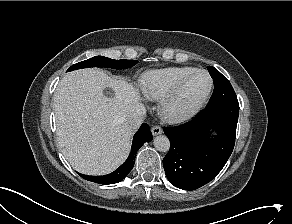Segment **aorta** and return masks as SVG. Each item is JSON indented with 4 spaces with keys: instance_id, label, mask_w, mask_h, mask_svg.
Here are the masks:
<instances>
[{
    "instance_id": "1",
    "label": "aorta",
    "mask_w": 292,
    "mask_h": 224,
    "mask_svg": "<svg viewBox=\"0 0 292 224\" xmlns=\"http://www.w3.org/2000/svg\"><path fill=\"white\" fill-rule=\"evenodd\" d=\"M154 146L160 152H167L170 149V141L165 135H159L154 139Z\"/></svg>"
}]
</instances>
